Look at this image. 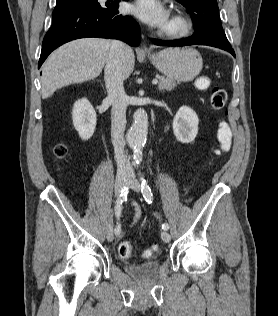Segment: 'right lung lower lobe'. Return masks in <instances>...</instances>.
I'll list each match as a JSON object with an SVG mask.
<instances>
[{
    "mask_svg": "<svg viewBox=\"0 0 278 316\" xmlns=\"http://www.w3.org/2000/svg\"><path fill=\"white\" fill-rule=\"evenodd\" d=\"M119 1L98 3L97 0H79L56 6L52 13V26L43 40L38 68L54 49L78 38L119 39L138 46L140 29L131 17L119 14Z\"/></svg>",
    "mask_w": 278,
    "mask_h": 316,
    "instance_id": "right-lung-lower-lobe-1",
    "label": "right lung lower lobe"
}]
</instances>
